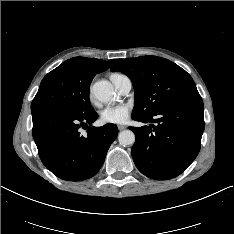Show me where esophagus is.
<instances>
[{
    "mask_svg": "<svg viewBox=\"0 0 234 234\" xmlns=\"http://www.w3.org/2000/svg\"><path fill=\"white\" fill-rule=\"evenodd\" d=\"M124 129H126V126H123V125H118V130H124Z\"/></svg>",
    "mask_w": 234,
    "mask_h": 234,
    "instance_id": "esophagus-1",
    "label": "esophagus"
}]
</instances>
